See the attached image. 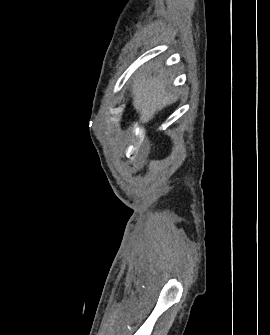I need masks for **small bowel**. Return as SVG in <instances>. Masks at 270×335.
Returning <instances> with one entry per match:
<instances>
[{
    "mask_svg": "<svg viewBox=\"0 0 270 335\" xmlns=\"http://www.w3.org/2000/svg\"><path fill=\"white\" fill-rule=\"evenodd\" d=\"M120 165H141V158H120Z\"/></svg>",
    "mask_w": 270,
    "mask_h": 335,
    "instance_id": "obj_1",
    "label": "small bowel"
}]
</instances>
